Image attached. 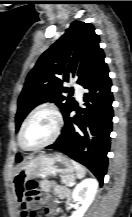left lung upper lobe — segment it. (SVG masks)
Wrapping results in <instances>:
<instances>
[{
	"label": "left lung upper lobe",
	"instance_id": "1",
	"mask_svg": "<svg viewBox=\"0 0 132 217\" xmlns=\"http://www.w3.org/2000/svg\"><path fill=\"white\" fill-rule=\"evenodd\" d=\"M104 58L94 27L81 21L72 22L28 74L18 99L16 130H19L26 115L43 102H54L64 116L74 105V99L63 95L72 90L63 87V82L76 78L77 83L83 85L104 62ZM17 158L21 156L17 155Z\"/></svg>",
	"mask_w": 132,
	"mask_h": 217
}]
</instances>
